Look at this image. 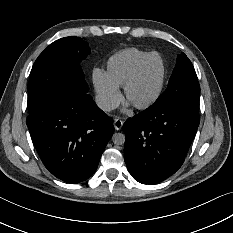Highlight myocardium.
<instances>
[{
  "label": "myocardium",
  "instance_id": "1",
  "mask_svg": "<svg viewBox=\"0 0 233 233\" xmlns=\"http://www.w3.org/2000/svg\"><path fill=\"white\" fill-rule=\"evenodd\" d=\"M155 56H159L163 59L164 62V76L161 82V85L159 87V90L157 92V94L155 95V97L145 103V104H133L134 107L138 110L141 111H145L150 109L151 107L155 106L162 98L166 85H167V81H168V77H169V66L168 63L164 57V55L160 52H150L139 64L138 66L133 70V72L130 74V76L126 79V81L123 84V92H124V96L127 100H129V90L131 88V86L134 84V82L137 80V78L139 77V75L141 74V72L143 71V69L146 67V65L148 64V62ZM130 101V100H129Z\"/></svg>",
  "mask_w": 233,
  "mask_h": 233
}]
</instances>
